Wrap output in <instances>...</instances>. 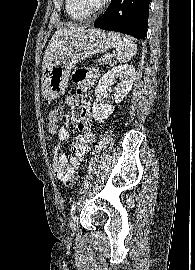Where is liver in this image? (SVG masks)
Segmentation results:
<instances>
[{"mask_svg":"<svg viewBox=\"0 0 195 270\" xmlns=\"http://www.w3.org/2000/svg\"><path fill=\"white\" fill-rule=\"evenodd\" d=\"M85 30V27H78L77 25L69 24L57 30L51 38L44 54L42 62V72L46 70L48 65L57 57L60 49L63 47V40L67 36Z\"/></svg>","mask_w":195,"mask_h":270,"instance_id":"liver-1","label":"liver"}]
</instances>
